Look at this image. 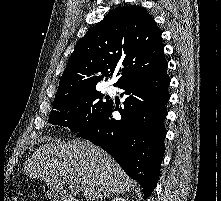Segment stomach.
Masks as SVG:
<instances>
[{
  "mask_svg": "<svg viewBox=\"0 0 221 201\" xmlns=\"http://www.w3.org/2000/svg\"><path fill=\"white\" fill-rule=\"evenodd\" d=\"M53 187L46 185L44 186V191L47 194V196L51 197V198H56L57 197V193L52 189Z\"/></svg>",
  "mask_w": 221,
  "mask_h": 201,
  "instance_id": "0dacf381",
  "label": "stomach"
}]
</instances>
